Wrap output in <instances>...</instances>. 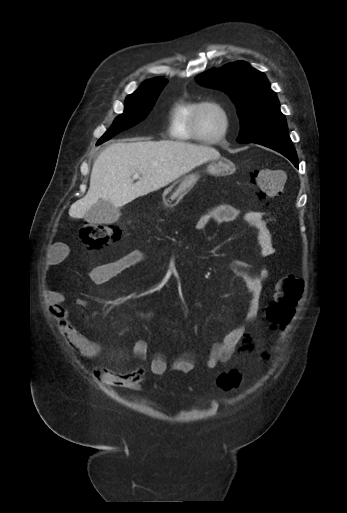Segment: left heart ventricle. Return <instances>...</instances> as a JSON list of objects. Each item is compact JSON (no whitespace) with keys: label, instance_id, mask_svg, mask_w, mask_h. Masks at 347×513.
Returning <instances> with one entry per match:
<instances>
[{"label":"left heart ventricle","instance_id":"b2bd125f","mask_svg":"<svg viewBox=\"0 0 347 513\" xmlns=\"http://www.w3.org/2000/svg\"><path fill=\"white\" fill-rule=\"evenodd\" d=\"M198 129L205 138L219 135L223 129V117L214 107L203 109L198 116Z\"/></svg>","mask_w":347,"mask_h":513}]
</instances>
